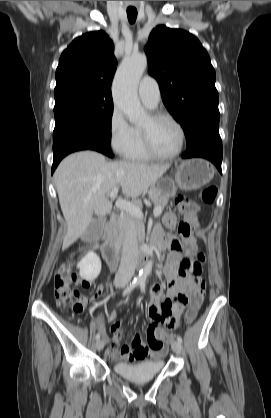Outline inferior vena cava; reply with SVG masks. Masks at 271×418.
Wrapping results in <instances>:
<instances>
[{
  "label": "inferior vena cava",
  "instance_id": "1",
  "mask_svg": "<svg viewBox=\"0 0 271 418\" xmlns=\"http://www.w3.org/2000/svg\"><path fill=\"white\" fill-rule=\"evenodd\" d=\"M138 255V240L135 228L127 223L119 269L115 275L116 285L129 283L135 272Z\"/></svg>",
  "mask_w": 271,
  "mask_h": 418
}]
</instances>
